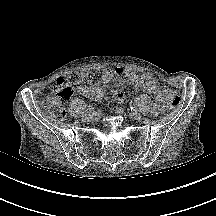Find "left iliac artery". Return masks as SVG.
<instances>
[{"mask_svg": "<svg viewBox=\"0 0 216 216\" xmlns=\"http://www.w3.org/2000/svg\"><path fill=\"white\" fill-rule=\"evenodd\" d=\"M131 111H137L136 106H132V107H131Z\"/></svg>", "mask_w": 216, "mask_h": 216, "instance_id": "left-iliac-artery-1", "label": "left iliac artery"}]
</instances>
